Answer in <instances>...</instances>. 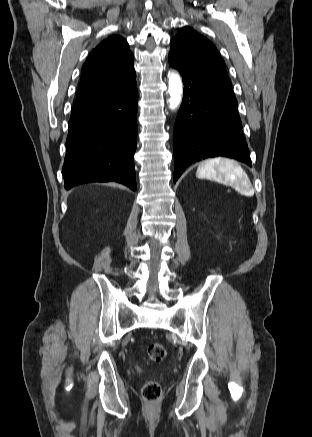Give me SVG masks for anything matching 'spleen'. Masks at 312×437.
<instances>
[{
  "mask_svg": "<svg viewBox=\"0 0 312 437\" xmlns=\"http://www.w3.org/2000/svg\"><path fill=\"white\" fill-rule=\"evenodd\" d=\"M196 176L229 185L246 196L254 194V188L246 172L238 163L228 158H212L202 162Z\"/></svg>",
  "mask_w": 312,
  "mask_h": 437,
  "instance_id": "spleen-1",
  "label": "spleen"
}]
</instances>
